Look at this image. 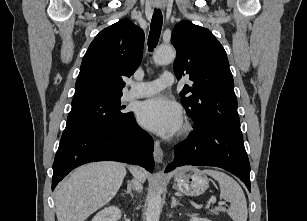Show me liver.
I'll return each mask as SVG.
<instances>
[{"instance_id":"liver-1","label":"liver","mask_w":307,"mask_h":221,"mask_svg":"<svg viewBox=\"0 0 307 221\" xmlns=\"http://www.w3.org/2000/svg\"><path fill=\"white\" fill-rule=\"evenodd\" d=\"M130 170L140 182L146 180L143 169L133 166ZM125 175V166L118 162H96L77 168L55 190L58 221H85L110 202Z\"/></svg>"}]
</instances>
